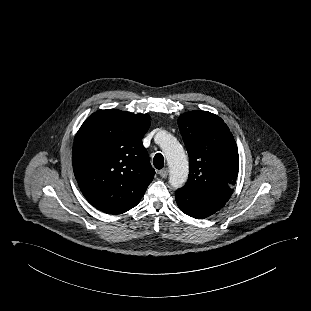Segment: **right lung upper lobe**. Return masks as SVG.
Segmentation results:
<instances>
[{
	"label": "right lung upper lobe",
	"mask_w": 311,
	"mask_h": 311,
	"mask_svg": "<svg viewBox=\"0 0 311 311\" xmlns=\"http://www.w3.org/2000/svg\"><path fill=\"white\" fill-rule=\"evenodd\" d=\"M148 114L98 110L78 130L72 150L73 171L88 202L107 214L135 207L154 178L142 138Z\"/></svg>",
	"instance_id": "obj_1"
}]
</instances>
